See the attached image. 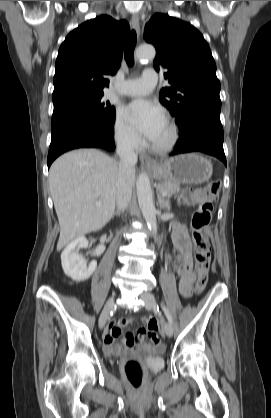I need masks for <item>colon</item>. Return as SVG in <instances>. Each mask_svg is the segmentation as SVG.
Returning a JSON list of instances; mask_svg holds the SVG:
<instances>
[{"mask_svg":"<svg viewBox=\"0 0 271 418\" xmlns=\"http://www.w3.org/2000/svg\"><path fill=\"white\" fill-rule=\"evenodd\" d=\"M220 183L211 182L203 188H188L182 191L180 202L184 205L198 204L191 221L192 238L195 248V290L202 292L208 280L210 269L211 252L205 230L209 226L213 214V202L217 199ZM149 330V339L159 343L156 334L158 324L155 319H145ZM125 372L127 378L134 388H139L143 382V369L136 360L126 363Z\"/></svg>","mask_w":271,"mask_h":418,"instance_id":"obj_1","label":"colon"}]
</instances>
